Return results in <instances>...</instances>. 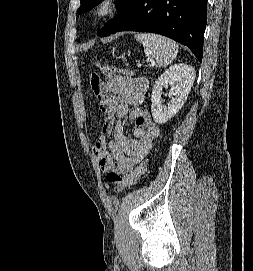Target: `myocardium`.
Wrapping results in <instances>:
<instances>
[{"label":"myocardium","instance_id":"f54148a6","mask_svg":"<svg viewBox=\"0 0 253 271\" xmlns=\"http://www.w3.org/2000/svg\"><path fill=\"white\" fill-rule=\"evenodd\" d=\"M119 4V0H99L94 5L92 14L97 20H106L116 13Z\"/></svg>","mask_w":253,"mask_h":271}]
</instances>
